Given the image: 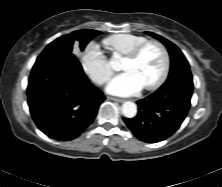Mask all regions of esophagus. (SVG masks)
<instances>
[{
  "label": "esophagus",
  "instance_id": "obj_1",
  "mask_svg": "<svg viewBox=\"0 0 222 187\" xmlns=\"http://www.w3.org/2000/svg\"><path fill=\"white\" fill-rule=\"evenodd\" d=\"M107 100L116 101V102H119V103H122V102H123L122 99L115 98V97H110V96L107 97Z\"/></svg>",
  "mask_w": 222,
  "mask_h": 187
}]
</instances>
